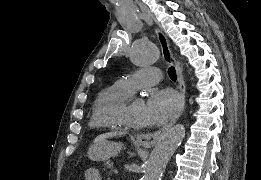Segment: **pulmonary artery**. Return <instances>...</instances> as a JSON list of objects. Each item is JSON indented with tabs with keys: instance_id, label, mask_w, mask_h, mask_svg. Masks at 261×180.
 <instances>
[{
	"instance_id": "e3ab8cb5",
	"label": "pulmonary artery",
	"mask_w": 261,
	"mask_h": 180,
	"mask_svg": "<svg viewBox=\"0 0 261 180\" xmlns=\"http://www.w3.org/2000/svg\"><path fill=\"white\" fill-rule=\"evenodd\" d=\"M141 65L139 69L123 76L117 81V84L127 93L132 92L135 88L153 89L152 82H157L161 79L159 69H143Z\"/></svg>"
}]
</instances>
